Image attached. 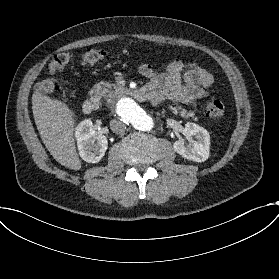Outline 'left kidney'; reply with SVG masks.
Here are the masks:
<instances>
[{
    "instance_id": "1",
    "label": "left kidney",
    "mask_w": 279,
    "mask_h": 279,
    "mask_svg": "<svg viewBox=\"0 0 279 279\" xmlns=\"http://www.w3.org/2000/svg\"><path fill=\"white\" fill-rule=\"evenodd\" d=\"M185 129L186 136H194L195 140H191L189 144H185L183 140L175 141L173 143L174 151L182 157L194 162L206 161L210 154L209 132L205 128L192 122H187Z\"/></svg>"
}]
</instances>
